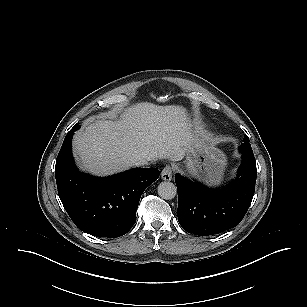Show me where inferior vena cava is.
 <instances>
[{
    "instance_id": "1",
    "label": "inferior vena cava",
    "mask_w": 307,
    "mask_h": 307,
    "mask_svg": "<svg viewBox=\"0 0 307 307\" xmlns=\"http://www.w3.org/2000/svg\"><path fill=\"white\" fill-rule=\"evenodd\" d=\"M134 165H136V166H145V165H148V161H146L145 159H139L136 162H134Z\"/></svg>"
}]
</instances>
